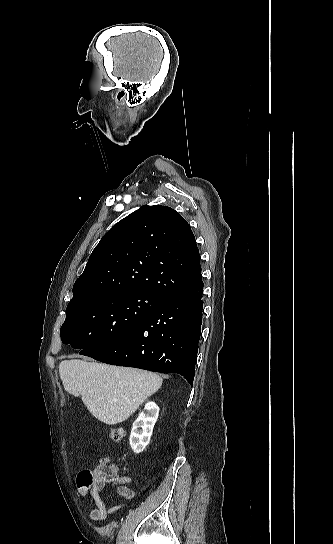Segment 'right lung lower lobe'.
I'll use <instances>...</instances> for the list:
<instances>
[{
    "instance_id": "98d812e1",
    "label": "right lung lower lobe",
    "mask_w": 333,
    "mask_h": 544,
    "mask_svg": "<svg viewBox=\"0 0 333 544\" xmlns=\"http://www.w3.org/2000/svg\"><path fill=\"white\" fill-rule=\"evenodd\" d=\"M203 282L167 296L136 327L85 354L104 363L179 373L192 385L201 334Z\"/></svg>"
}]
</instances>
